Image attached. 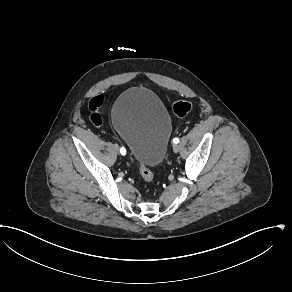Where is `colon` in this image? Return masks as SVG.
Instances as JSON below:
<instances>
[{"instance_id": "colon-1", "label": "colon", "mask_w": 292, "mask_h": 292, "mask_svg": "<svg viewBox=\"0 0 292 292\" xmlns=\"http://www.w3.org/2000/svg\"><path fill=\"white\" fill-rule=\"evenodd\" d=\"M104 94L103 93H96L94 96L93 101L89 102V109L93 110L90 114V121L94 125H100L101 123V118L98 113H96L94 110L98 109L99 104H102L104 102ZM192 108V105L190 102L186 100H179L176 102H173L171 104V111L174 115L176 116H184L186 115ZM139 171L142 179L144 180L145 183L151 184L154 180V174L151 170V168L143 161L139 162Z\"/></svg>"}]
</instances>
